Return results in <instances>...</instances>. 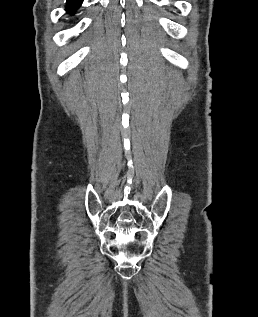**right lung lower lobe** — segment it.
<instances>
[{"instance_id": "98d812e1", "label": "right lung lower lobe", "mask_w": 258, "mask_h": 317, "mask_svg": "<svg viewBox=\"0 0 258 317\" xmlns=\"http://www.w3.org/2000/svg\"><path fill=\"white\" fill-rule=\"evenodd\" d=\"M66 10L68 14L73 15L75 11L80 7L83 0H66Z\"/></svg>"}]
</instances>
